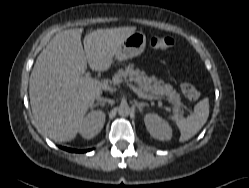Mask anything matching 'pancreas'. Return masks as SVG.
Masks as SVG:
<instances>
[{
  "mask_svg": "<svg viewBox=\"0 0 249 188\" xmlns=\"http://www.w3.org/2000/svg\"><path fill=\"white\" fill-rule=\"evenodd\" d=\"M125 80L134 81L145 94L156 95V97L166 95L168 100L175 105V115H181L180 95L169 83H164V81L158 80L155 77H148L144 71L134 69L133 64L125 66L124 69H119L112 78L114 85H119Z\"/></svg>",
  "mask_w": 249,
  "mask_h": 188,
  "instance_id": "1",
  "label": "pancreas"
}]
</instances>
